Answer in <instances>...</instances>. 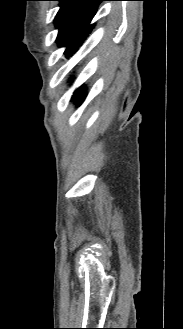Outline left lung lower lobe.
I'll return each mask as SVG.
<instances>
[{"label":"left lung lower lobe","instance_id":"1","mask_svg":"<svg viewBox=\"0 0 183 329\" xmlns=\"http://www.w3.org/2000/svg\"><path fill=\"white\" fill-rule=\"evenodd\" d=\"M83 43V42H82ZM81 43V44H82ZM85 86L82 85L81 87H79L73 94L72 99L76 102V104L79 106L81 105V103L84 101L85 97H86V93L84 91Z\"/></svg>","mask_w":183,"mask_h":329}]
</instances>
